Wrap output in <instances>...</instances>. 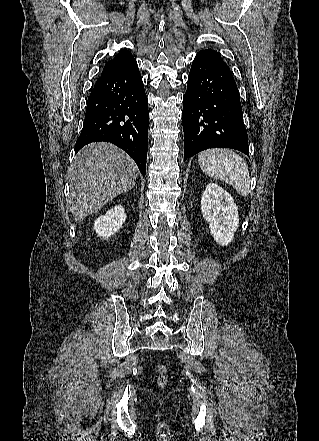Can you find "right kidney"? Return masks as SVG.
<instances>
[{
	"label": "right kidney",
	"mask_w": 319,
	"mask_h": 441,
	"mask_svg": "<svg viewBox=\"0 0 319 441\" xmlns=\"http://www.w3.org/2000/svg\"><path fill=\"white\" fill-rule=\"evenodd\" d=\"M125 219L124 208L118 205L108 210L105 215L98 217L94 222L93 229L99 237L108 239L122 228Z\"/></svg>",
	"instance_id": "1"
}]
</instances>
